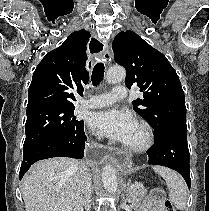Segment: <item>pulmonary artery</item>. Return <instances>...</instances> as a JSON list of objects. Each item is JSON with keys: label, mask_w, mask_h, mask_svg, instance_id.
I'll return each instance as SVG.
<instances>
[{"label": "pulmonary artery", "mask_w": 209, "mask_h": 211, "mask_svg": "<svg viewBox=\"0 0 209 211\" xmlns=\"http://www.w3.org/2000/svg\"><path fill=\"white\" fill-rule=\"evenodd\" d=\"M127 88L122 85L115 86L111 92L102 93L92 96L88 100H83L81 102L82 108H102L113 104L118 100H122L127 97Z\"/></svg>", "instance_id": "obj_1"}]
</instances>
